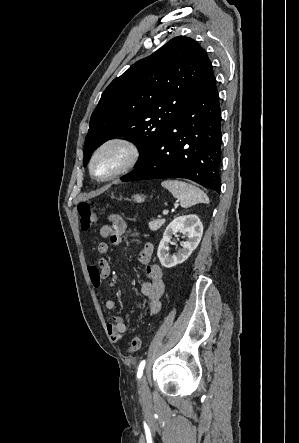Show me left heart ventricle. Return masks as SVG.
I'll return each mask as SVG.
<instances>
[{"mask_svg":"<svg viewBox=\"0 0 299 443\" xmlns=\"http://www.w3.org/2000/svg\"><path fill=\"white\" fill-rule=\"evenodd\" d=\"M123 153L117 148L107 150L97 161L95 169L100 175L109 173L121 161Z\"/></svg>","mask_w":299,"mask_h":443,"instance_id":"b2bd125f","label":"left heart ventricle"}]
</instances>
